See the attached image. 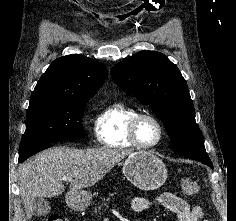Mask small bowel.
<instances>
[{"label":"small bowel","instance_id":"1","mask_svg":"<svg viewBox=\"0 0 236 221\" xmlns=\"http://www.w3.org/2000/svg\"><path fill=\"white\" fill-rule=\"evenodd\" d=\"M157 202L173 212L178 221H208L203 219L204 212L200 206H191L186 200L172 193H163L157 198ZM151 205V201L144 197H134L131 200V209L140 213Z\"/></svg>","mask_w":236,"mask_h":221}]
</instances>
